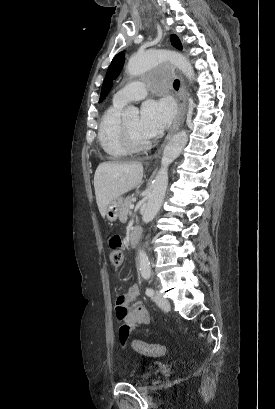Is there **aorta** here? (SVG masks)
<instances>
[{
  "instance_id": "aorta-1",
  "label": "aorta",
  "mask_w": 275,
  "mask_h": 409,
  "mask_svg": "<svg viewBox=\"0 0 275 409\" xmlns=\"http://www.w3.org/2000/svg\"><path fill=\"white\" fill-rule=\"evenodd\" d=\"M128 57L127 72H129L130 76L142 74V72L147 70V65H161V60H170L171 64L179 68L189 80L194 78V70L189 58L183 56L180 52H172V50L129 51ZM138 116L139 110L136 106H127L122 114V118H138ZM187 142L188 134L186 130L176 132V134L170 138L169 142H167L162 154L161 168L154 178L147 207L142 215L143 223L153 221L158 211H160L168 184V166L179 156ZM138 261L141 277H143V279H150L151 267L144 251H139Z\"/></svg>"
}]
</instances>
